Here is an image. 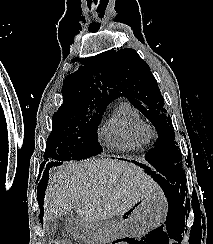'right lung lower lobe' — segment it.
I'll return each instance as SVG.
<instances>
[{
	"mask_svg": "<svg viewBox=\"0 0 213 244\" xmlns=\"http://www.w3.org/2000/svg\"><path fill=\"white\" fill-rule=\"evenodd\" d=\"M58 164H60V162L59 163L58 162L49 163V164H47V168L52 167V165H58ZM46 183H47V177H45V179H43L42 182L40 183V185L38 186L37 195H38V200L40 202H42L41 199L44 194V189H45L44 187L46 186Z\"/></svg>",
	"mask_w": 213,
	"mask_h": 244,
	"instance_id": "98d812e1",
	"label": "right lung lower lobe"
}]
</instances>
